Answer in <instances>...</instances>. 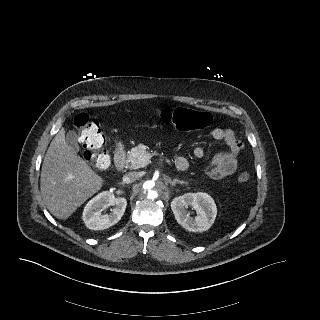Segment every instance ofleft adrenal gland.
Segmentation results:
<instances>
[{"instance_id": "left-adrenal-gland-1", "label": "left adrenal gland", "mask_w": 320, "mask_h": 320, "mask_svg": "<svg viewBox=\"0 0 320 320\" xmlns=\"http://www.w3.org/2000/svg\"><path fill=\"white\" fill-rule=\"evenodd\" d=\"M169 183H170V185H172V186H174L175 184H178V183H180V184H187V182L181 181V180H178V179L169 180Z\"/></svg>"}]
</instances>
